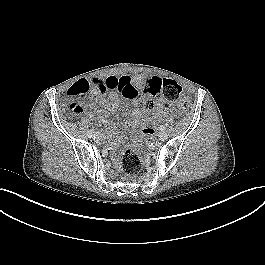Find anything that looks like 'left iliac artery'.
Listing matches in <instances>:
<instances>
[{"label": "left iliac artery", "mask_w": 265, "mask_h": 265, "mask_svg": "<svg viewBox=\"0 0 265 265\" xmlns=\"http://www.w3.org/2000/svg\"><path fill=\"white\" fill-rule=\"evenodd\" d=\"M159 129H160L161 131H164V130H165V127H164L163 125H161V126L159 127Z\"/></svg>", "instance_id": "obj_1"}]
</instances>
